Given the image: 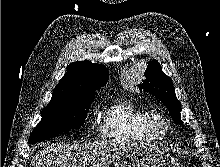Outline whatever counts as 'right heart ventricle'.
Listing matches in <instances>:
<instances>
[{"label": "right heart ventricle", "mask_w": 220, "mask_h": 167, "mask_svg": "<svg viewBox=\"0 0 220 167\" xmlns=\"http://www.w3.org/2000/svg\"><path fill=\"white\" fill-rule=\"evenodd\" d=\"M150 111L127 97L114 99L103 112L100 134L117 142L145 143L152 141L144 130Z\"/></svg>", "instance_id": "e07e8e85"}]
</instances>
